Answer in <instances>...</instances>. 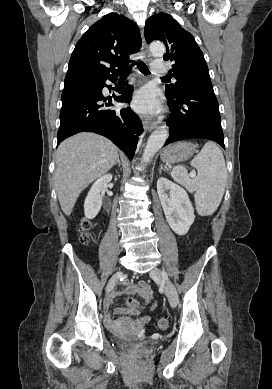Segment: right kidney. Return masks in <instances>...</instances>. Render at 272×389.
I'll use <instances>...</instances> for the list:
<instances>
[{"label":"right kidney","mask_w":272,"mask_h":389,"mask_svg":"<svg viewBox=\"0 0 272 389\" xmlns=\"http://www.w3.org/2000/svg\"><path fill=\"white\" fill-rule=\"evenodd\" d=\"M112 179L111 174L100 177L92 185L84 203V213L86 218L93 219L99 213L102 206V188L107 185Z\"/></svg>","instance_id":"obj_1"}]
</instances>
